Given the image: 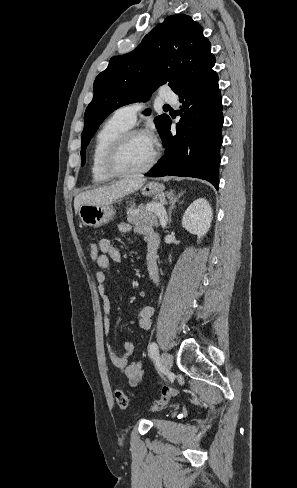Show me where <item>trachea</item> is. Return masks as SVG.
I'll return each mask as SVG.
<instances>
[{
    "label": "trachea",
    "instance_id": "3493384b",
    "mask_svg": "<svg viewBox=\"0 0 297 488\" xmlns=\"http://www.w3.org/2000/svg\"><path fill=\"white\" fill-rule=\"evenodd\" d=\"M169 107H170V106H169V105H167V104H166V105H164V108H169Z\"/></svg>",
    "mask_w": 297,
    "mask_h": 488
}]
</instances>
